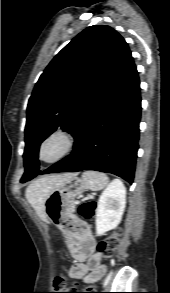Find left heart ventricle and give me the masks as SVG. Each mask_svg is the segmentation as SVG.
I'll return each mask as SVG.
<instances>
[{
  "label": "left heart ventricle",
  "instance_id": "1",
  "mask_svg": "<svg viewBox=\"0 0 170 293\" xmlns=\"http://www.w3.org/2000/svg\"><path fill=\"white\" fill-rule=\"evenodd\" d=\"M58 149V144L56 142H52L45 148L44 155L46 157H51L57 153Z\"/></svg>",
  "mask_w": 170,
  "mask_h": 293
}]
</instances>
